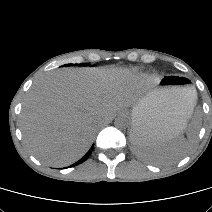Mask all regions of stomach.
<instances>
[{"label": "stomach", "instance_id": "stomach-1", "mask_svg": "<svg viewBox=\"0 0 212 212\" xmlns=\"http://www.w3.org/2000/svg\"><path fill=\"white\" fill-rule=\"evenodd\" d=\"M183 82L180 76L160 78L157 83L161 85L138 101L132 110V142L135 127L139 123L152 138L170 140L183 132L185 124L179 113V93L189 87Z\"/></svg>", "mask_w": 212, "mask_h": 212}]
</instances>
